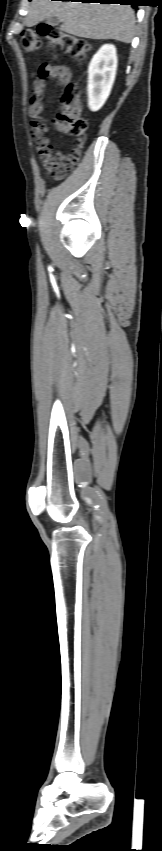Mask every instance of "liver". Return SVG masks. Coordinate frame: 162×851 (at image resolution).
Masks as SVG:
<instances>
[{"label":"liver","mask_w":162,"mask_h":851,"mask_svg":"<svg viewBox=\"0 0 162 851\" xmlns=\"http://www.w3.org/2000/svg\"><path fill=\"white\" fill-rule=\"evenodd\" d=\"M57 17L66 33L90 39H113L130 43L134 37L135 16L129 5L32 0L25 24Z\"/></svg>","instance_id":"liver-1"}]
</instances>
